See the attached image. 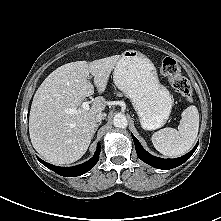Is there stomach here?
<instances>
[{
    "label": "stomach",
    "instance_id": "obj_1",
    "mask_svg": "<svg viewBox=\"0 0 221 221\" xmlns=\"http://www.w3.org/2000/svg\"><path fill=\"white\" fill-rule=\"evenodd\" d=\"M113 81L128 98L145 130H156L168 120L172 96L160 84L152 61L136 50L124 51L117 61Z\"/></svg>",
    "mask_w": 221,
    "mask_h": 221
}]
</instances>
